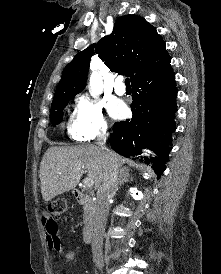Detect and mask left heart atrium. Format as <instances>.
<instances>
[{
	"label": "left heart atrium",
	"instance_id": "1",
	"mask_svg": "<svg viewBox=\"0 0 221 274\" xmlns=\"http://www.w3.org/2000/svg\"><path fill=\"white\" fill-rule=\"evenodd\" d=\"M109 113L113 118H123L127 113L126 105L120 100H114L109 105Z\"/></svg>",
	"mask_w": 221,
	"mask_h": 274
}]
</instances>
